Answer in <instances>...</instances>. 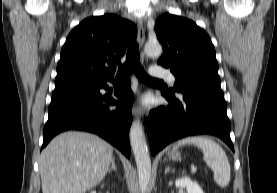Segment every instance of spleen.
Wrapping results in <instances>:
<instances>
[{
  "instance_id": "obj_1",
  "label": "spleen",
  "mask_w": 277,
  "mask_h": 193,
  "mask_svg": "<svg viewBox=\"0 0 277 193\" xmlns=\"http://www.w3.org/2000/svg\"><path fill=\"white\" fill-rule=\"evenodd\" d=\"M194 144L203 152V160L214 171V181L221 188H225L230 182L231 169L228 158L222 147L203 136H191L179 140L174 149L178 146Z\"/></svg>"
}]
</instances>
